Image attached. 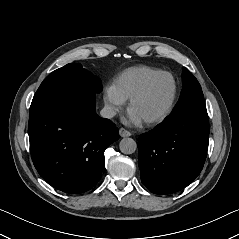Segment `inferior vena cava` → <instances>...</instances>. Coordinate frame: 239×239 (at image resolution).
I'll list each match as a JSON object with an SVG mask.
<instances>
[{"label":"inferior vena cava","mask_w":239,"mask_h":239,"mask_svg":"<svg viewBox=\"0 0 239 239\" xmlns=\"http://www.w3.org/2000/svg\"><path fill=\"white\" fill-rule=\"evenodd\" d=\"M100 114L103 118H113L116 115V111L113 107L104 106V108L100 111Z\"/></svg>","instance_id":"obj_1"}]
</instances>
